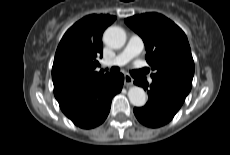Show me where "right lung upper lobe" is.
I'll return each instance as SVG.
<instances>
[{"instance_id":"right-lung-upper-lobe-1","label":"right lung upper lobe","mask_w":230,"mask_h":155,"mask_svg":"<svg viewBox=\"0 0 230 155\" xmlns=\"http://www.w3.org/2000/svg\"><path fill=\"white\" fill-rule=\"evenodd\" d=\"M111 15H88L67 30L56 50L52 67L57 101L76 96L110 75L96 72L102 57V34L115 21Z\"/></svg>"}]
</instances>
